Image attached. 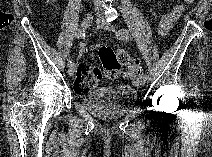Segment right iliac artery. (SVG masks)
<instances>
[{
  "mask_svg": "<svg viewBox=\"0 0 212 157\" xmlns=\"http://www.w3.org/2000/svg\"><path fill=\"white\" fill-rule=\"evenodd\" d=\"M84 35H85V33H83L82 31H78L75 34V38L79 39V38H82ZM72 65H73L72 61L71 60H68V67H70Z\"/></svg>",
  "mask_w": 212,
  "mask_h": 157,
  "instance_id": "right-iliac-artery-1",
  "label": "right iliac artery"
}]
</instances>
